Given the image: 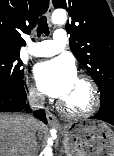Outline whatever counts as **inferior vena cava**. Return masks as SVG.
I'll use <instances>...</instances> for the list:
<instances>
[{
  "label": "inferior vena cava",
  "instance_id": "obj_1",
  "mask_svg": "<svg viewBox=\"0 0 114 156\" xmlns=\"http://www.w3.org/2000/svg\"><path fill=\"white\" fill-rule=\"evenodd\" d=\"M28 101L33 110L41 109L44 105V96L39 92H30ZM24 156H35V148L33 145L26 149Z\"/></svg>",
  "mask_w": 114,
  "mask_h": 156
}]
</instances>
